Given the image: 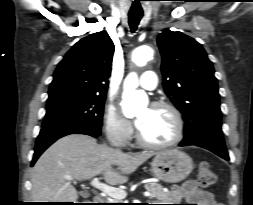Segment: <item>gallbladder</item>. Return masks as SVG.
Returning <instances> with one entry per match:
<instances>
[{"label":"gallbladder","instance_id":"bac80fb5","mask_svg":"<svg viewBox=\"0 0 253 205\" xmlns=\"http://www.w3.org/2000/svg\"><path fill=\"white\" fill-rule=\"evenodd\" d=\"M81 194H82L83 196H87V194H86V193H84V192H82Z\"/></svg>","mask_w":253,"mask_h":205}]
</instances>
